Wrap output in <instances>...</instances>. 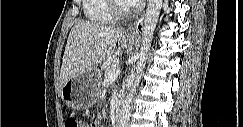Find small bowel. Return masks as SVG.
Wrapping results in <instances>:
<instances>
[{
	"mask_svg": "<svg viewBox=\"0 0 243 127\" xmlns=\"http://www.w3.org/2000/svg\"><path fill=\"white\" fill-rule=\"evenodd\" d=\"M82 126H83V127H87V125H86V124H82Z\"/></svg>",
	"mask_w": 243,
	"mask_h": 127,
	"instance_id": "small-bowel-1",
	"label": "small bowel"
}]
</instances>
